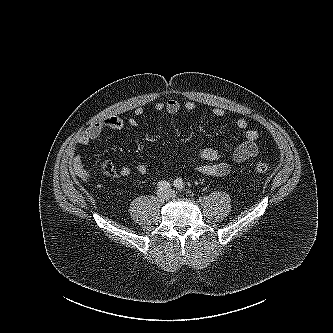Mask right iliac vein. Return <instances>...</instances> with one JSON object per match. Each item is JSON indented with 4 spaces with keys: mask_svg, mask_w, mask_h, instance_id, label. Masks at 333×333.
<instances>
[{
    "mask_svg": "<svg viewBox=\"0 0 333 333\" xmlns=\"http://www.w3.org/2000/svg\"><path fill=\"white\" fill-rule=\"evenodd\" d=\"M157 196L160 198V199H167L169 197V193L168 191H158L157 192Z\"/></svg>",
    "mask_w": 333,
    "mask_h": 333,
    "instance_id": "63e3f726",
    "label": "right iliac vein"
}]
</instances>
